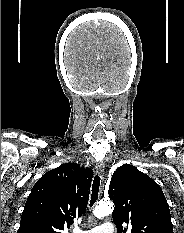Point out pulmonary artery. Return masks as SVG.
Wrapping results in <instances>:
<instances>
[{"instance_id": "1", "label": "pulmonary artery", "mask_w": 184, "mask_h": 233, "mask_svg": "<svg viewBox=\"0 0 184 233\" xmlns=\"http://www.w3.org/2000/svg\"><path fill=\"white\" fill-rule=\"evenodd\" d=\"M77 233H115V227L112 222H104L101 225L87 231H77Z\"/></svg>"}]
</instances>
